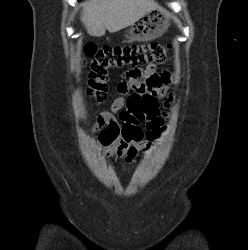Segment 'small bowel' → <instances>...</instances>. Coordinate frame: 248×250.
<instances>
[{
  "label": "small bowel",
  "mask_w": 248,
  "mask_h": 250,
  "mask_svg": "<svg viewBox=\"0 0 248 250\" xmlns=\"http://www.w3.org/2000/svg\"><path fill=\"white\" fill-rule=\"evenodd\" d=\"M156 74L158 73L155 67L149 66L141 75L128 81H120L117 84V91L121 95L114 100L110 111H103L99 114L93 129L98 132L99 140L107 156H118L130 163L139 151L149 147V142L161 131L163 117L159 110L142 120L146 122V134H144L138 125L140 120L128 107L124 109L127 105L126 94L129 90L141 93L149 91L156 97L161 96L162 87L147 82ZM116 113H120V121L116 119Z\"/></svg>",
  "instance_id": "small-bowel-1"
}]
</instances>
